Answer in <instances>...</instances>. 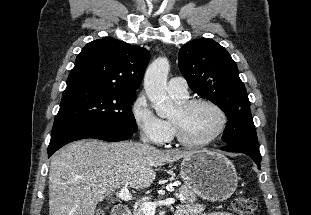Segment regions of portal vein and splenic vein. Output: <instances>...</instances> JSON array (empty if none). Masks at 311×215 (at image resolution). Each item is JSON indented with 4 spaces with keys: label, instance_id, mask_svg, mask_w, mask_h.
I'll return each instance as SVG.
<instances>
[{
    "label": "portal vein and splenic vein",
    "instance_id": "obj_1",
    "mask_svg": "<svg viewBox=\"0 0 311 215\" xmlns=\"http://www.w3.org/2000/svg\"><path fill=\"white\" fill-rule=\"evenodd\" d=\"M116 196L123 201H131L133 199L126 185H124L119 192H116ZM175 202L176 200L174 198H168L159 202H143L139 204V208L144 212L145 215H154L157 206H167L174 204Z\"/></svg>",
    "mask_w": 311,
    "mask_h": 215
}]
</instances>
